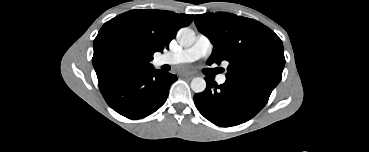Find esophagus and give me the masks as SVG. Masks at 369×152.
Returning <instances> with one entry per match:
<instances>
[{
	"label": "esophagus",
	"instance_id": "34e87169",
	"mask_svg": "<svg viewBox=\"0 0 369 152\" xmlns=\"http://www.w3.org/2000/svg\"><path fill=\"white\" fill-rule=\"evenodd\" d=\"M195 76V74L194 73H185V74H183V77H185V78H188V79H191V78H193Z\"/></svg>",
	"mask_w": 369,
	"mask_h": 152
}]
</instances>
